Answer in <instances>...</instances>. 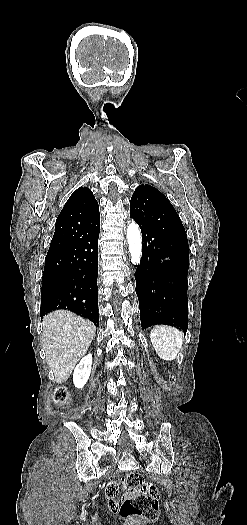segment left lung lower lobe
I'll return each mask as SVG.
<instances>
[{"mask_svg": "<svg viewBox=\"0 0 247 525\" xmlns=\"http://www.w3.org/2000/svg\"><path fill=\"white\" fill-rule=\"evenodd\" d=\"M138 225L143 244L135 279L142 329L171 324L186 333L189 249L159 228Z\"/></svg>", "mask_w": 247, "mask_h": 525, "instance_id": "0a47b994", "label": "left lung lower lobe"}]
</instances>
